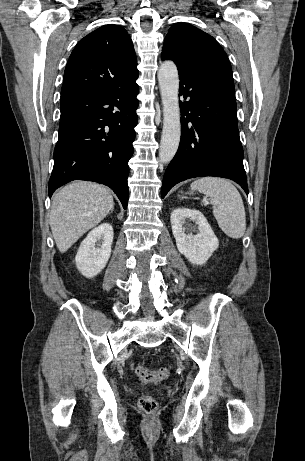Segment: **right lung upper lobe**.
Masks as SVG:
<instances>
[{"label": "right lung upper lobe", "mask_w": 305, "mask_h": 461, "mask_svg": "<svg viewBox=\"0 0 305 461\" xmlns=\"http://www.w3.org/2000/svg\"><path fill=\"white\" fill-rule=\"evenodd\" d=\"M138 78L132 40L119 25H105L81 39L64 72L61 101L101 94Z\"/></svg>", "instance_id": "cb5924a9"}]
</instances>
